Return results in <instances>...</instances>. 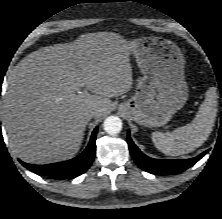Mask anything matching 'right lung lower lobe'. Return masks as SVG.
<instances>
[{
    "label": "right lung lower lobe",
    "instance_id": "1",
    "mask_svg": "<svg viewBox=\"0 0 222 219\" xmlns=\"http://www.w3.org/2000/svg\"><path fill=\"white\" fill-rule=\"evenodd\" d=\"M98 127L92 132L90 142L86 149L77 157L59 163L47 164V165H33L27 164L22 161V165L38 174H43L56 179H70L75 178L85 173L91 166L95 153H96V134Z\"/></svg>",
    "mask_w": 222,
    "mask_h": 219
}]
</instances>
